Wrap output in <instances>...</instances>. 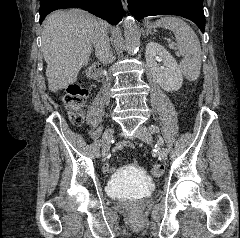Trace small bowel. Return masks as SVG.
<instances>
[{"instance_id":"1","label":"small bowel","mask_w":240,"mask_h":238,"mask_svg":"<svg viewBox=\"0 0 240 238\" xmlns=\"http://www.w3.org/2000/svg\"><path fill=\"white\" fill-rule=\"evenodd\" d=\"M126 147L127 148H137L138 147V144L137 143H127L126 144ZM115 151H123V144L122 143H117L116 146H115ZM132 160L133 161H136L137 160V157L136 156H133L132 157ZM132 167L135 165L133 162L130 164ZM119 168L121 167L120 165L118 166ZM124 168L126 167L125 165L123 166ZM103 169H105L103 171V174L104 175H109L110 174V171L111 172H114L115 171V168L114 167H111L110 168V164H103Z\"/></svg>"}]
</instances>
